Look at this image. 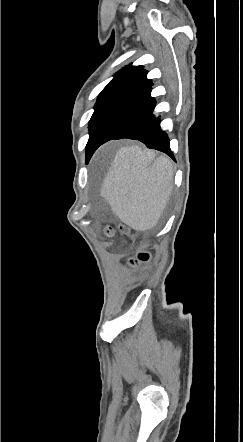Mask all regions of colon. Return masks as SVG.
Wrapping results in <instances>:
<instances>
[{"label":"colon","instance_id":"1","mask_svg":"<svg viewBox=\"0 0 243 442\" xmlns=\"http://www.w3.org/2000/svg\"><path fill=\"white\" fill-rule=\"evenodd\" d=\"M121 229L125 232V229L123 227ZM105 233L107 237L111 238L114 236V230L112 228H106ZM149 258L150 253L144 249H141L139 250L137 256L135 258H131L129 262L131 265L137 266L140 263H147L149 261Z\"/></svg>","mask_w":243,"mask_h":442}]
</instances>
